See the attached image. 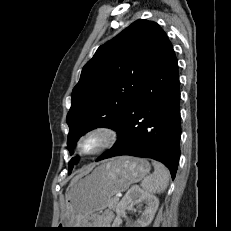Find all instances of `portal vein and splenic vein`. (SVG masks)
Segmentation results:
<instances>
[{
	"mask_svg": "<svg viewBox=\"0 0 231 231\" xmlns=\"http://www.w3.org/2000/svg\"><path fill=\"white\" fill-rule=\"evenodd\" d=\"M121 196H122L121 194H116L115 198L119 200V197H121Z\"/></svg>",
	"mask_w": 231,
	"mask_h": 231,
	"instance_id": "18ae733b",
	"label": "portal vein and splenic vein"
}]
</instances>
